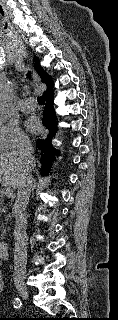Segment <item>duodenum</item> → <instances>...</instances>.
<instances>
[{"label":"duodenum","instance_id":"obj_1","mask_svg":"<svg viewBox=\"0 0 118 320\" xmlns=\"http://www.w3.org/2000/svg\"><path fill=\"white\" fill-rule=\"evenodd\" d=\"M9 243L6 241H0V259H6L8 257Z\"/></svg>","mask_w":118,"mask_h":320}]
</instances>
